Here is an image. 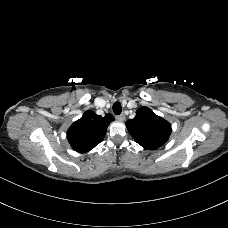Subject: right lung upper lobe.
I'll return each instance as SVG.
<instances>
[{"mask_svg":"<svg viewBox=\"0 0 228 228\" xmlns=\"http://www.w3.org/2000/svg\"><path fill=\"white\" fill-rule=\"evenodd\" d=\"M112 121L114 118L111 114L102 117L88 110L70 126L67 131V139L75 151L88 152L102 142L107 127Z\"/></svg>","mask_w":228,"mask_h":228,"instance_id":"right-lung-upper-lobe-1","label":"right lung upper lobe"}]
</instances>
